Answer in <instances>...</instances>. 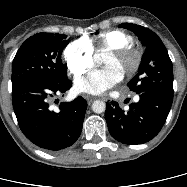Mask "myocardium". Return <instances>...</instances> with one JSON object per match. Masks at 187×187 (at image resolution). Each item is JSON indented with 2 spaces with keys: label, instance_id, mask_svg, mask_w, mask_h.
I'll return each instance as SVG.
<instances>
[{
  "label": "myocardium",
  "instance_id": "1",
  "mask_svg": "<svg viewBox=\"0 0 187 187\" xmlns=\"http://www.w3.org/2000/svg\"><path fill=\"white\" fill-rule=\"evenodd\" d=\"M107 55H111L115 58H122L128 55L133 56L134 61L131 68L123 74V76L126 78H131L136 75L142 64V53L139 49L131 45H126L109 50L107 51Z\"/></svg>",
  "mask_w": 187,
  "mask_h": 187
}]
</instances>
